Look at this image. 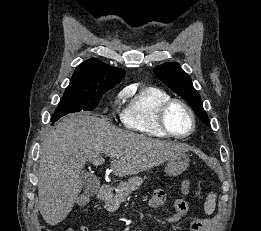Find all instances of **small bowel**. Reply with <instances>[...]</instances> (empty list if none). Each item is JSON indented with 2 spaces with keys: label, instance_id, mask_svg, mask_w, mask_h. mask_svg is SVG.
<instances>
[{
  "label": "small bowel",
  "instance_id": "obj_1",
  "mask_svg": "<svg viewBox=\"0 0 261 231\" xmlns=\"http://www.w3.org/2000/svg\"><path fill=\"white\" fill-rule=\"evenodd\" d=\"M186 181H183V183ZM165 193L162 190H157L151 199L149 200V207L153 211H157L160 209L164 203H165ZM189 214V204L188 202L183 198H178L174 202V213L168 217L167 221L170 223L176 222L180 217L187 216ZM192 220L197 219L194 217H190ZM207 225L200 229V231H214V220H206ZM46 231V230H45ZM65 231H88L87 226H79L77 228H66ZM95 231H101V230H95Z\"/></svg>",
  "mask_w": 261,
  "mask_h": 231
}]
</instances>
